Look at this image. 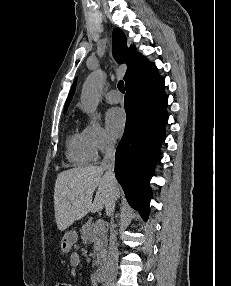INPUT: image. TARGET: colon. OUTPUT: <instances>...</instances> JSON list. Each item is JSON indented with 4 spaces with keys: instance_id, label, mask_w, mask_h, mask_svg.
<instances>
[{
    "instance_id": "1",
    "label": "colon",
    "mask_w": 231,
    "mask_h": 286,
    "mask_svg": "<svg viewBox=\"0 0 231 286\" xmlns=\"http://www.w3.org/2000/svg\"><path fill=\"white\" fill-rule=\"evenodd\" d=\"M55 286H72V285L68 282L61 281V282L56 283Z\"/></svg>"
}]
</instances>
